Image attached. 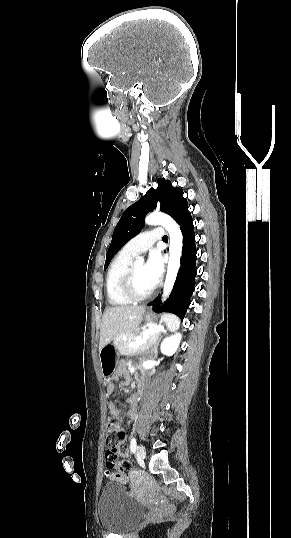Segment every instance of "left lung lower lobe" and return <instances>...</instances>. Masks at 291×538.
Returning a JSON list of instances; mask_svg holds the SVG:
<instances>
[{
	"mask_svg": "<svg viewBox=\"0 0 291 538\" xmlns=\"http://www.w3.org/2000/svg\"><path fill=\"white\" fill-rule=\"evenodd\" d=\"M183 234V248L181 266L176 278L173 290L161 305V297L158 296L148 305L153 306V310L159 312H170L176 314L181 319L184 318L190 305V297L195 289L196 276V246L193 220L190 212L186 213L177 222Z\"/></svg>",
	"mask_w": 291,
	"mask_h": 538,
	"instance_id": "1",
	"label": "left lung lower lobe"
}]
</instances>
